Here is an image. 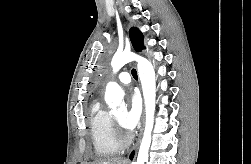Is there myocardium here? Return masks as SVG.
<instances>
[{"instance_id": "f54148a6", "label": "myocardium", "mask_w": 251, "mask_h": 164, "mask_svg": "<svg viewBox=\"0 0 251 164\" xmlns=\"http://www.w3.org/2000/svg\"><path fill=\"white\" fill-rule=\"evenodd\" d=\"M114 123L117 126V138H118V142L120 145H125L128 143V137L122 132L120 131V122L117 120V118H114Z\"/></svg>"}]
</instances>
